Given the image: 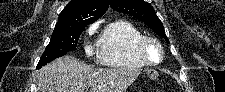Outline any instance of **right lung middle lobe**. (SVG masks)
Wrapping results in <instances>:
<instances>
[{
	"label": "right lung middle lobe",
	"mask_w": 225,
	"mask_h": 92,
	"mask_svg": "<svg viewBox=\"0 0 225 92\" xmlns=\"http://www.w3.org/2000/svg\"><path fill=\"white\" fill-rule=\"evenodd\" d=\"M86 25L89 24L78 23L74 27H55L50 42L41 56L36 68L40 69L52 60L65 55L70 50L75 49L80 34L83 32Z\"/></svg>",
	"instance_id": "obj_1"
}]
</instances>
